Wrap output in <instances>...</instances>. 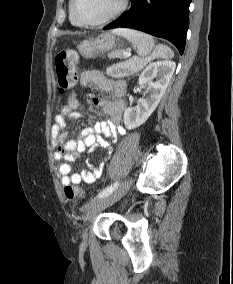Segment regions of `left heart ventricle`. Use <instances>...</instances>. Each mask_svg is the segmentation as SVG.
<instances>
[{
  "label": "left heart ventricle",
  "mask_w": 233,
  "mask_h": 284,
  "mask_svg": "<svg viewBox=\"0 0 233 284\" xmlns=\"http://www.w3.org/2000/svg\"><path fill=\"white\" fill-rule=\"evenodd\" d=\"M121 0H78L79 17L87 22H95L110 15Z\"/></svg>",
  "instance_id": "b2bd125f"
}]
</instances>
